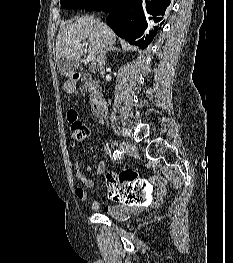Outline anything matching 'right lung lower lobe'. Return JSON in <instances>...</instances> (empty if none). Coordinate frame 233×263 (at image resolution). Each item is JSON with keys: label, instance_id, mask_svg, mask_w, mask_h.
<instances>
[{"label": "right lung lower lobe", "instance_id": "98d812e1", "mask_svg": "<svg viewBox=\"0 0 233 263\" xmlns=\"http://www.w3.org/2000/svg\"><path fill=\"white\" fill-rule=\"evenodd\" d=\"M170 0H102L94 9L109 12L108 26L132 45L146 48L155 36L157 26L143 36L148 22L161 21Z\"/></svg>", "mask_w": 233, "mask_h": 263}]
</instances>
